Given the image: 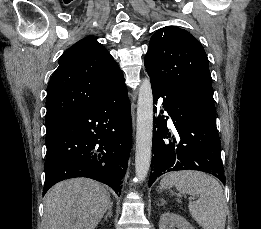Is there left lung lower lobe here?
<instances>
[{
  "label": "left lung lower lobe",
  "instance_id": "1",
  "mask_svg": "<svg viewBox=\"0 0 261 229\" xmlns=\"http://www.w3.org/2000/svg\"><path fill=\"white\" fill-rule=\"evenodd\" d=\"M150 80L155 104L160 97L163 98L164 111L170 116L175 129L173 133L169 132V117L161 116L163 110L159 111L153 121L154 160L149 187L166 172L187 169L210 173L225 184L213 95ZM157 110L155 107L154 112Z\"/></svg>",
  "mask_w": 261,
  "mask_h": 229
}]
</instances>
